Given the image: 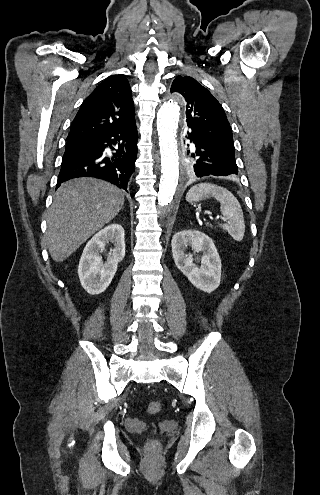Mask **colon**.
<instances>
[{
    "label": "colon",
    "mask_w": 320,
    "mask_h": 495,
    "mask_svg": "<svg viewBox=\"0 0 320 495\" xmlns=\"http://www.w3.org/2000/svg\"><path fill=\"white\" fill-rule=\"evenodd\" d=\"M161 407L162 405L160 401H151L147 406V412L150 415H157L161 411ZM147 447L149 451H155L158 447V442L156 440H150Z\"/></svg>",
    "instance_id": "obj_1"
}]
</instances>
